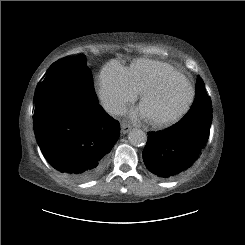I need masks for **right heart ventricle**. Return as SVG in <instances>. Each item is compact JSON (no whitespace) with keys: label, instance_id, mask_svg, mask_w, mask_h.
<instances>
[{"label":"right heart ventricle","instance_id":"e07e8e85","mask_svg":"<svg viewBox=\"0 0 245 245\" xmlns=\"http://www.w3.org/2000/svg\"><path fill=\"white\" fill-rule=\"evenodd\" d=\"M177 70L171 65L159 61L139 59L128 68L129 80L137 93L156 83L161 77Z\"/></svg>","mask_w":245,"mask_h":245}]
</instances>
